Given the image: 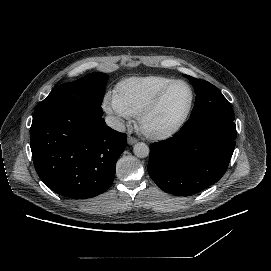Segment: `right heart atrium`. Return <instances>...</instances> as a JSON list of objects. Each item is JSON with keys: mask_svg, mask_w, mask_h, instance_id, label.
<instances>
[{"mask_svg": "<svg viewBox=\"0 0 271 271\" xmlns=\"http://www.w3.org/2000/svg\"><path fill=\"white\" fill-rule=\"evenodd\" d=\"M105 105L107 110L112 113L117 118V120L124 121L129 118L128 113L123 108L118 97L114 93L109 92L106 94Z\"/></svg>", "mask_w": 271, "mask_h": 271, "instance_id": "right-heart-atrium-1", "label": "right heart atrium"}]
</instances>
